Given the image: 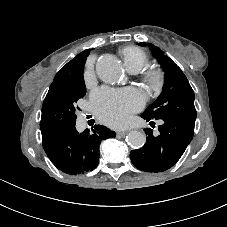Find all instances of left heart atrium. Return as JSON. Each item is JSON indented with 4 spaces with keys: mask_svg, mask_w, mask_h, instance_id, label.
Returning <instances> with one entry per match:
<instances>
[{
    "mask_svg": "<svg viewBox=\"0 0 227 227\" xmlns=\"http://www.w3.org/2000/svg\"><path fill=\"white\" fill-rule=\"evenodd\" d=\"M144 97L134 90L100 88L91 96V106L98 118L107 125H124L131 113L140 110Z\"/></svg>",
    "mask_w": 227,
    "mask_h": 227,
    "instance_id": "39dd6f15",
    "label": "left heart atrium"
}]
</instances>
